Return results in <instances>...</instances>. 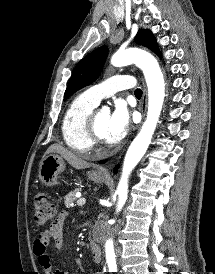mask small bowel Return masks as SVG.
<instances>
[{
	"mask_svg": "<svg viewBox=\"0 0 215 274\" xmlns=\"http://www.w3.org/2000/svg\"><path fill=\"white\" fill-rule=\"evenodd\" d=\"M66 220V214L60 213L54 220L48 230L42 231L37 234L34 241V254L41 265L45 274H79L66 272L63 270H53L52 261L50 255L47 253V247L50 242H53L54 247L60 250L63 247V226ZM101 274V273H96Z\"/></svg>",
	"mask_w": 215,
	"mask_h": 274,
	"instance_id": "c3829d8e",
	"label": "small bowel"
}]
</instances>
